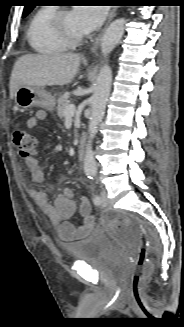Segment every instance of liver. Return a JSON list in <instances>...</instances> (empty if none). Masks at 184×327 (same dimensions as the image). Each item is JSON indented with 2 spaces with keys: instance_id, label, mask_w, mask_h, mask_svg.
Here are the masks:
<instances>
[{
  "instance_id": "6515ba94",
  "label": "liver",
  "mask_w": 184,
  "mask_h": 327,
  "mask_svg": "<svg viewBox=\"0 0 184 327\" xmlns=\"http://www.w3.org/2000/svg\"><path fill=\"white\" fill-rule=\"evenodd\" d=\"M81 58L79 54H27L19 57L10 77V98L14 99L20 86H63L76 76Z\"/></svg>"
}]
</instances>
